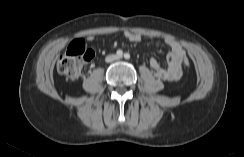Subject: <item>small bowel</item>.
Returning a JSON list of instances; mask_svg holds the SVG:
<instances>
[{"label": "small bowel", "mask_w": 244, "mask_h": 157, "mask_svg": "<svg viewBox=\"0 0 244 157\" xmlns=\"http://www.w3.org/2000/svg\"><path fill=\"white\" fill-rule=\"evenodd\" d=\"M126 39L130 42H140L142 37L138 33L125 32ZM93 36H88V41H92ZM164 44L169 47L170 52L167 55L166 66H162L160 62L152 58L150 66L153 69L156 78L168 82L177 81L182 76V62L185 56V51L181 45L172 38H165Z\"/></svg>", "instance_id": "obj_1"}]
</instances>
